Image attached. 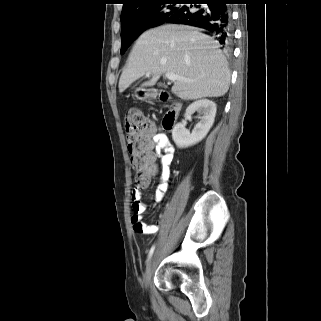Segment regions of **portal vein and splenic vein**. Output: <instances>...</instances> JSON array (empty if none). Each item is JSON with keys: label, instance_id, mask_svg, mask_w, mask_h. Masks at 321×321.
I'll use <instances>...</instances> for the list:
<instances>
[{"label": "portal vein and splenic vein", "instance_id": "1", "mask_svg": "<svg viewBox=\"0 0 321 321\" xmlns=\"http://www.w3.org/2000/svg\"><path fill=\"white\" fill-rule=\"evenodd\" d=\"M150 73H146V76H149ZM165 76L167 77L168 80L170 81H177V80H182V81H186V79L179 77L178 75L174 74V73H166Z\"/></svg>", "mask_w": 321, "mask_h": 321}]
</instances>
